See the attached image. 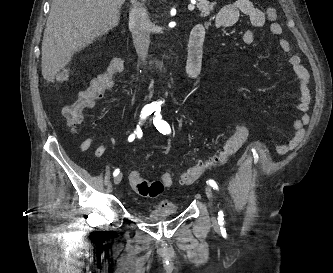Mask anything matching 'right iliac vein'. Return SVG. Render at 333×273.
<instances>
[{"label": "right iliac vein", "mask_w": 333, "mask_h": 273, "mask_svg": "<svg viewBox=\"0 0 333 273\" xmlns=\"http://www.w3.org/2000/svg\"><path fill=\"white\" fill-rule=\"evenodd\" d=\"M122 180V174H118L115 178H114V184L118 185Z\"/></svg>", "instance_id": "obj_1"}]
</instances>
